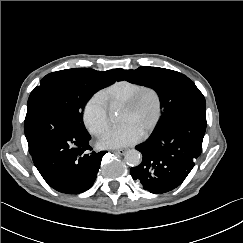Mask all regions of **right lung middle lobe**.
Instances as JSON below:
<instances>
[{
  "label": "right lung middle lobe",
  "mask_w": 243,
  "mask_h": 243,
  "mask_svg": "<svg viewBox=\"0 0 243 243\" xmlns=\"http://www.w3.org/2000/svg\"><path fill=\"white\" fill-rule=\"evenodd\" d=\"M110 83V79L82 68L52 72L31 92L28 106L34 103L54 106L70 116L80 129L86 130L83 111L87 101Z\"/></svg>",
  "instance_id": "1"
}]
</instances>
